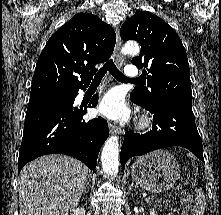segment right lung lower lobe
<instances>
[{
	"mask_svg": "<svg viewBox=\"0 0 221 215\" xmlns=\"http://www.w3.org/2000/svg\"><path fill=\"white\" fill-rule=\"evenodd\" d=\"M87 86L80 89L85 90ZM77 95L78 90L67 94L61 101L27 108L18 173L27 162L52 153L75 157L95 171L100 148L109 137L108 124L101 117L87 122L83 120L86 110L74 107ZM91 103L92 107L97 105V94Z\"/></svg>",
	"mask_w": 221,
	"mask_h": 215,
	"instance_id": "right-lung-lower-lobe-1",
	"label": "right lung lower lobe"
}]
</instances>
